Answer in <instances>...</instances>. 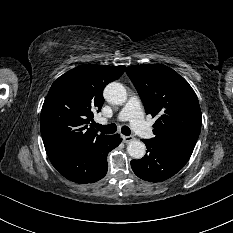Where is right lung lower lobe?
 I'll return each mask as SVG.
<instances>
[{
    "label": "right lung lower lobe",
    "mask_w": 233,
    "mask_h": 233,
    "mask_svg": "<svg viewBox=\"0 0 233 233\" xmlns=\"http://www.w3.org/2000/svg\"><path fill=\"white\" fill-rule=\"evenodd\" d=\"M122 141L119 134L107 135L93 143L50 157V161L65 178L79 183H94L107 173V154Z\"/></svg>",
    "instance_id": "obj_1"
}]
</instances>
